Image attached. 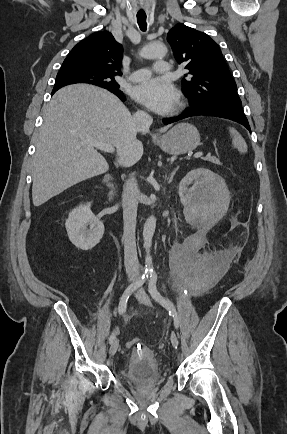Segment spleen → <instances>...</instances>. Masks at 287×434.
Wrapping results in <instances>:
<instances>
[{"label": "spleen", "instance_id": "3e777b00", "mask_svg": "<svg viewBox=\"0 0 287 434\" xmlns=\"http://www.w3.org/2000/svg\"><path fill=\"white\" fill-rule=\"evenodd\" d=\"M229 131H230V135L232 137L233 147L236 148L240 153H246L247 152V144H246L244 138L234 128H230Z\"/></svg>", "mask_w": 287, "mask_h": 434}]
</instances>
